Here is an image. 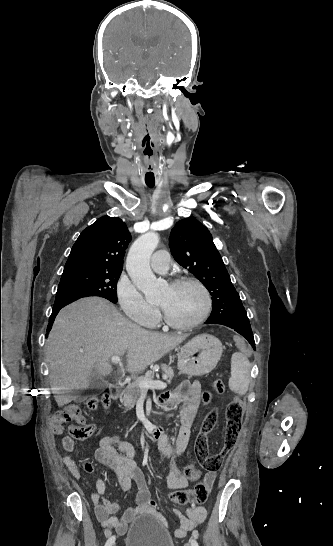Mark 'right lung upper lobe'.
Returning <instances> with one entry per match:
<instances>
[{
    "mask_svg": "<svg viewBox=\"0 0 333 546\" xmlns=\"http://www.w3.org/2000/svg\"><path fill=\"white\" fill-rule=\"evenodd\" d=\"M130 241L131 235L120 218L103 216L82 231L71 249L62 275L122 270Z\"/></svg>",
    "mask_w": 333,
    "mask_h": 546,
    "instance_id": "right-lung-upper-lobe-1",
    "label": "right lung upper lobe"
}]
</instances>
